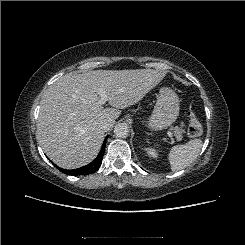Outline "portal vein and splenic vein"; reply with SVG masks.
Listing matches in <instances>:
<instances>
[{
    "label": "portal vein and splenic vein",
    "instance_id": "18ae733b",
    "mask_svg": "<svg viewBox=\"0 0 245 245\" xmlns=\"http://www.w3.org/2000/svg\"><path fill=\"white\" fill-rule=\"evenodd\" d=\"M97 93H98V94L100 95V97H101L100 100L98 101V105H103V104H105V102L108 100V96H107L105 90L102 89V88H98V89H97ZM167 135H168L169 138H173V133H172V132L167 131Z\"/></svg>",
    "mask_w": 245,
    "mask_h": 245
}]
</instances>
